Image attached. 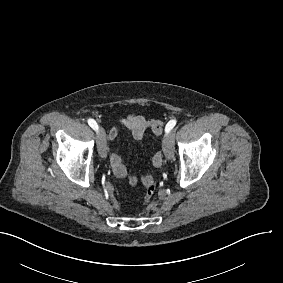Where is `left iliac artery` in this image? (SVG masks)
Wrapping results in <instances>:
<instances>
[{
    "instance_id": "1",
    "label": "left iliac artery",
    "mask_w": 283,
    "mask_h": 283,
    "mask_svg": "<svg viewBox=\"0 0 283 283\" xmlns=\"http://www.w3.org/2000/svg\"><path fill=\"white\" fill-rule=\"evenodd\" d=\"M175 125H176V120H170L165 127V132L169 133Z\"/></svg>"
}]
</instances>
